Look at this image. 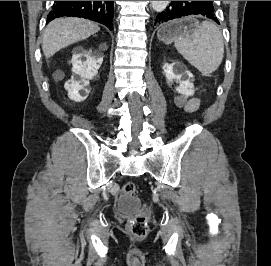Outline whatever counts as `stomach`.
<instances>
[{"mask_svg": "<svg viewBox=\"0 0 271 266\" xmlns=\"http://www.w3.org/2000/svg\"><path fill=\"white\" fill-rule=\"evenodd\" d=\"M196 24L197 23L193 20L171 22L158 30L157 37L160 41L169 44L178 36L191 32Z\"/></svg>", "mask_w": 271, "mask_h": 266, "instance_id": "1", "label": "stomach"}]
</instances>
